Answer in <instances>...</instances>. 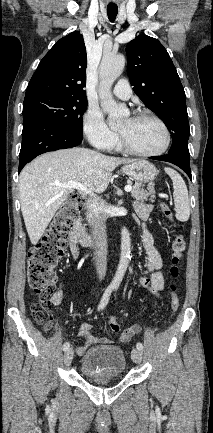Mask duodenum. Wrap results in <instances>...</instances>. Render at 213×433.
<instances>
[{"label":"duodenum","mask_w":213,"mask_h":433,"mask_svg":"<svg viewBox=\"0 0 213 433\" xmlns=\"http://www.w3.org/2000/svg\"><path fill=\"white\" fill-rule=\"evenodd\" d=\"M73 233L75 234L78 243L83 247L93 246L101 242L98 237L90 235L85 231L78 218L74 221Z\"/></svg>","instance_id":"410a0bca"}]
</instances>
